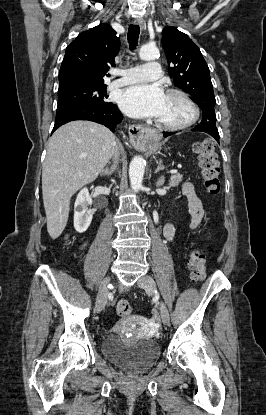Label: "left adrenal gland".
<instances>
[{"label": "left adrenal gland", "instance_id": "left-adrenal-gland-1", "mask_svg": "<svg viewBox=\"0 0 266 415\" xmlns=\"http://www.w3.org/2000/svg\"><path fill=\"white\" fill-rule=\"evenodd\" d=\"M161 170H164V166L162 165V160H159V162L157 163V169L155 170V174H157ZM163 182H164V177L161 176L156 182V186H161Z\"/></svg>", "mask_w": 266, "mask_h": 415}]
</instances>
